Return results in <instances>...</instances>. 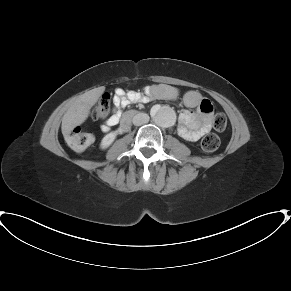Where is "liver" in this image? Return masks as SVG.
I'll return each mask as SVG.
<instances>
[{"label": "liver", "mask_w": 291, "mask_h": 291, "mask_svg": "<svg viewBox=\"0 0 291 291\" xmlns=\"http://www.w3.org/2000/svg\"><path fill=\"white\" fill-rule=\"evenodd\" d=\"M105 87L92 89L79 96L69 107L62 117V133L67 136L76 127L85 122L88 118L91 108L98 101Z\"/></svg>", "instance_id": "1"}]
</instances>
